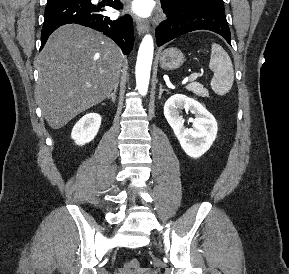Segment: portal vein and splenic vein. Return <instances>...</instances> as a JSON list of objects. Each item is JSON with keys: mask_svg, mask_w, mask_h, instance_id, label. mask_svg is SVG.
<instances>
[{"mask_svg": "<svg viewBox=\"0 0 289 274\" xmlns=\"http://www.w3.org/2000/svg\"><path fill=\"white\" fill-rule=\"evenodd\" d=\"M202 76H203V74H201V73L192 74V75L189 76L188 80H189L190 82H193V81H195L198 77H202ZM183 83H186V81H184Z\"/></svg>", "mask_w": 289, "mask_h": 274, "instance_id": "obj_1", "label": "portal vein and splenic vein"}]
</instances>
